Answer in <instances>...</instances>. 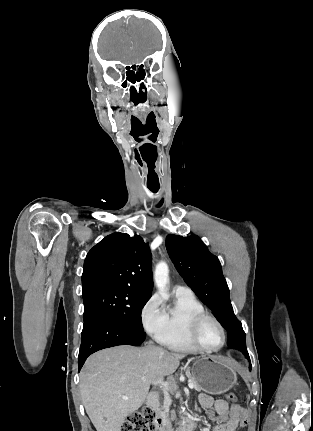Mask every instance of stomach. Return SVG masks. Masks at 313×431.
I'll return each instance as SVG.
<instances>
[{
  "instance_id": "1",
  "label": "stomach",
  "mask_w": 313,
  "mask_h": 431,
  "mask_svg": "<svg viewBox=\"0 0 313 431\" xmlns=\"http://www.w3.org/2000/svg\"><path fill=\"white\" fill-rule=\"evenodd\" d=\"M188 371L203 391L213 395L227 392L237 382L235 370L215 356L192 359V367Z\"/></svg>"
}]
</instances>
